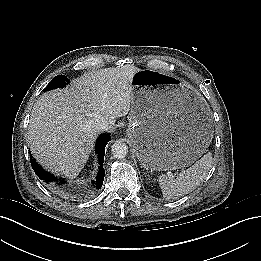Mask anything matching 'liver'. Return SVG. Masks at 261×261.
Segmentation results:
<instances>
[{"label":"liver","instance_id":"liver-1","mask_svg":"<svg viewBox=\"0 0 261 261\" xmlns=\"http://www.w3.org/2000/svg\"><path fill=\"white\" fill-rule=\"evenodd\" d=\"M133 65L93 71L63 91H49L34 104L28 140L36 160L48 170L74 177L86 164L97 133L91 127L96 115L114 128L116 118L131 109Z\"/></svg>","mask_w":261,"mask_h":261}]
</instances>
